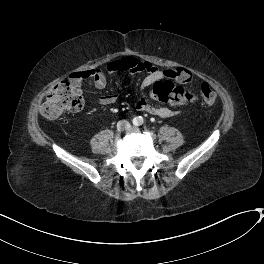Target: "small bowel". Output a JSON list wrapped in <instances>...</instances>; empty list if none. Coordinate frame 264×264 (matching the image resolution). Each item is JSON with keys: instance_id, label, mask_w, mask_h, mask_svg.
Listing matches in <instances>:
<instances>
[{"instance_id": "obj_1", "label": "small bowel", "mask_w": 264, "mask_h": 264, "mask_svg": "<svg viewBox=\"0 0 264 264\" xmlns=\"http://www.w3.org/2000/svg\"><path fill=\"white\" fill-rule=\"evenodd\" d=\"M107 70L112 75L119 72L147 71V75L141 83L142 94L136 103V109L159 118H167L175 114V111L171 108L153 105L146 94L147 89L152 84L166 79L165 70H160L150 63L140 62L132 57L111 61L107 65ZM184 74L186 75L185 72ZM71 77L77 78L80 81L91 79L93 80L95 87L98 89L104 88L107 83L104 74L97 69L75 72ZM119 97V93L113 92L99 97L98 102L104 106L112 105L118 101Z\"/></svg>"}]
</instances>
